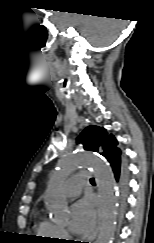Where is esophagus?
I'll use <instances>...</instances> for the list:
<instances>
[{"label":"esophagus","instance_id":"obj_1","mask_svg":"<svg viewBox=\"0 0 154 243\" xmlns=\"http://www.w3.org/2000/svg\"><path fill=\"white\" fill-rule=\"evenodd\" d=\"M100 225H101V214H100V211H99L98 212V225H97V228H96L95 232L92 234V236L89 237L88 243H92V241H94V239L96 238V236H97V234L99 232Z\"/></svg>","mask_w":154,"mask_h":243}]
</instances>
